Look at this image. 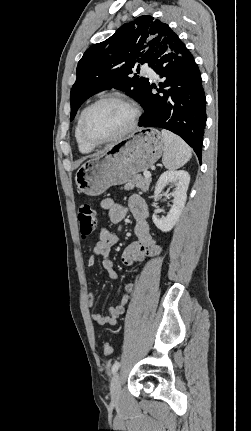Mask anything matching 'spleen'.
I'll list each match as a JSON object with an SVG mask.
<instances>
[{
	"label": "spleen",
	"instance_id": "1",
	"mask_svg": "<svg viewBox=\"0 0 251 431\" xmlns=\"http://www.w3.org/2000/svg\"><path fill=\"white\" fill-rule=\"evenodd\" d=\"M164 154L162 162L167 169L174 170L182 167L191 158L190 147L179 136L170 131L162 130Z\"/></svg>",
	"mask_w": 251,
	"mask_h": 431
}]
</instances>
